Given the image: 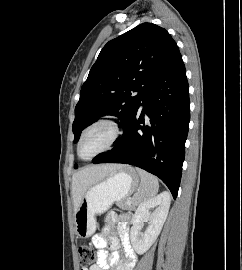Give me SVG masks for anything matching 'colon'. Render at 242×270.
Segmentation results:
<instances>
[{
	"label": "colon",
	"mask_w": 242,
	"mask_h": 270,
	"mask_svg": "<svg viewBox=\"0 0 242 270\" xmlns=\"http://www.w3.org/2000/svg\"><path fill=\"white\" fill-rule=\"evenodd\" d=\"M80 264L84 268L92 265L98 260L97 251L89 245H82L79 248Z\"/></svg>",
	"instance_id": "1"
}]
</instances>
